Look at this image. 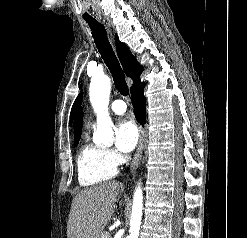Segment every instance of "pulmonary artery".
Instances as JSON below:
<instances>
[{"label":"pulmonary artery","instance_id":"obj_1","mask_svg":"<svg viewBox=\"0 0 247 238\" xmlns=\"http://www.w3.org/2000/svg\"><path fill=\"white\" fill-rule=\"evenodd\" d=\"M110 110L115 114H124L127 110V106L123 100H115L111 103Z\"/></svg>","mask_w":247,"mask_h":238}]
</instances>
